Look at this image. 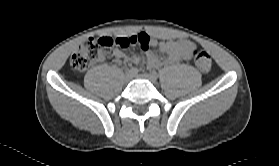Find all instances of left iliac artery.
Masks as SVG:
<instances>
[{"instance_id": "1", "label": "left iliac artery", "mask_w": 279, "mask_h": 166, "mask_svg": "<svg viewBox=\"0 0 279 166\" xmlns=\"http://www.w3.org/2000/svg\"><path fill=\"white\" fill-rule=\"evenodd\" d=\"M151 74L154 75L155 77H158V74L156 71H152Z\"/></svg>"}]
</instances>
